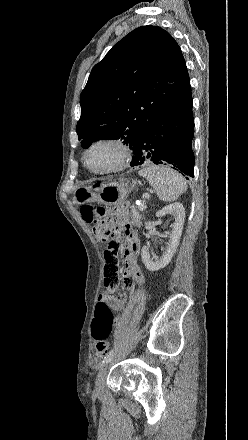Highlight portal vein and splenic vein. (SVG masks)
I'll return each mask as SVG.
<instances>
[{"instance_id":"obj_1","label":"portal vein and splenic vein","mask_w":248,"mask_h":440,"mask_svg":"<svg viewBox=\"0 0 248 440\" xmlns=\"http://www.w3.org/2000/svg\"><path fill=\"white\" fill-rule=\"evenodd\" d=\"M139 206H140V208H139V209L143 210V209H144V207H145V202L141 203V204H140Z\"/></svg>"}]
</instances>
